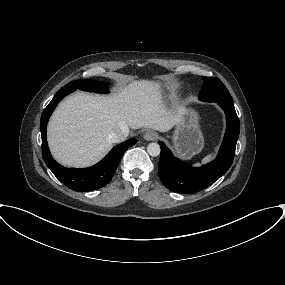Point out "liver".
Here are the masks:
<instances>
[{
	"label": "liver",
	"mask_w": 285,
	"mask_h": 285,
	"mask_svg": "<svg viewBox=\"0 0 285 285\" xmlns=\"http://www.w3.org/2000/svg\"><path fill=\"white\" fill-rule=\"evenodd\" d=\"M181 110H167L154 81L139 80L111 96L75 93L62 101L48 124V144L61 164L86 167L112 148L110 134L122 126L162 132L176 126Z\"/></svg>",
	"instance_id": "obj_1"
}]
</instances>
